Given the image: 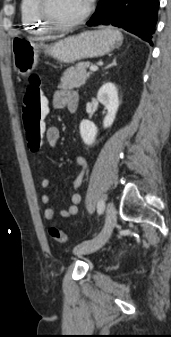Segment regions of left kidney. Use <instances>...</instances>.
Returning <instances> with one entry per match:
<instances>
[{"mask_svg": "<svg viewBox=\"0 0 171 337\" xmlns=\"http://www.w3.org/2000/svg\"><path fill=\"white\" fill-rule=\"evenodd\" d=\"M97 99L106 109L107 114L103 120V127H110L116 117L120 102L118 91L113 83L104 84L97 93ZM98 129L95 124L89 120H82L80 123V135L86 145H92L97 136Z\"/></svg>", "mask_w": 171, "mask_h": 337, "instance_id": "obj_1", "label": "left kidney"}]
</instances>
